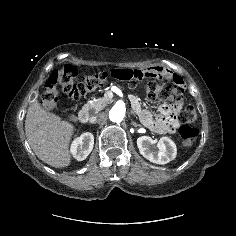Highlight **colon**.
Here are the masks:
<instances>
[{
    "mask_svg": "<svg viewBox=\"0 0 236 236\" xmlns=\"http://www.w3.org/2000/svg\"><path fill=\"white\" fill-rule=\"evenodd\" d=\"M108 76L107 72H99L79 77L76 68L71 65L56 69L43 86L42 106L47 110H54L57 107L58 89H61L69 99L78 100L103 86ZM146 93L149 98L169 102L174 108L179 107L183 98L182 87L173 81L159 83L157 80H151L146 85ZM179 118L184 123L179 130L182 144L189 147L195 142L199 134L193 126L197 122L195 106L192 104L185 106L179 114Z\"/></svg>",
    "mask_w": 236,
    "mask_h": 236,
    "instance_id": "5ec220e1",
    "label": "colon"
}]
</instances>
